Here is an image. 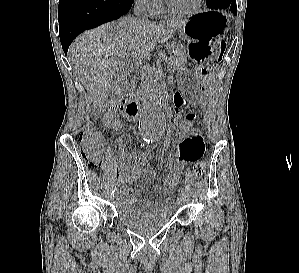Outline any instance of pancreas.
Returning a JSON list of instances; mask_svg holds the SVG:
<instances>
[{
  "label": "pancreas",
  "instance_id": "pancreas-1",
  "mask_svg": "<svg viewBox=\"0 0 299 273\" xmlns=\"http://www.w3.org/2000/svg\"><path fill=\"white\" fill-rule=\"evenodd\" d=\"M187 62V52L185 46L180 44L175 47L174 55L169 61L168 69L170 71L177 70L185 66Z\"/></svg>",
  "mask_w": 299,
  "mask_h": 273
}]
</instances>
